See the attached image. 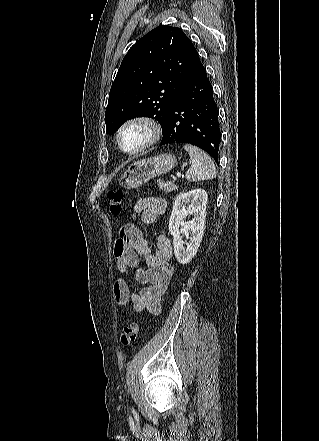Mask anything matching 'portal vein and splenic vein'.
<instances>
[{"instance_id":"portal-vein-and-splenic-vein-1","label":"portal vein and splenic vein","mask_w":319,"mask_h":441,"mask_svg":"<svg viewBox=\"0 0 319 441\" xmlns=\"http://www.w3.org/2000/svg\"><path fill=\"white\" fill-rule=\"evenodd\" d=\"M177 177H181V173L180 172L177 173Z\"/></svg>"}]
</instances>
